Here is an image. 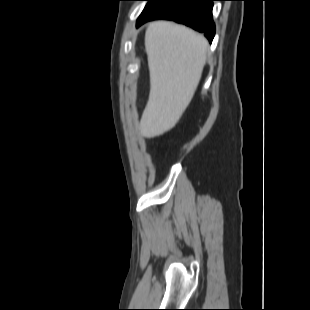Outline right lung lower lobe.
<instances>
[{
    "mask_svg": "<svg viewBox=\"0 0 310 310\" xmlns=\"http://www.w3.org/2000/svg\"><path fill=\"white\" fill-rule=\"evenodd\" d=\"M213 1L215 0H161L144 9L137 20V26L154 19L174 20L203 32L212 42L215 34Z\"/></svg>",
    "mask_w": 310,
    "mask_h": 310,
    "instance_id": "obj_1",
    "label": "right lung lower lobe"
}]
</instances>
